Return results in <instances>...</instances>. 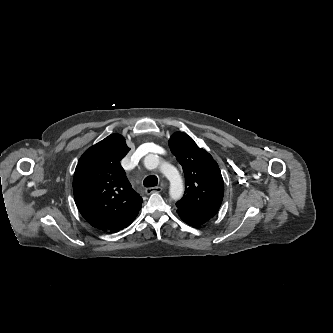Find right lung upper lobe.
Masks as SVG:
<instances>
[{"label":"right lung upper lobe","instance_id":"1","mask_svg":"<svg viewBox=\"0 0 333 333\" xmlns=\"http://www.w3.org/2000/svg\"><path fill=\"white\" fill-rule=\"evenodd\" d=\"M129 150L123 136L112 134L90 147L76 166L75 203L84 219L99 230L118 232L128 227L141 209L142 197L120 165Z\"/></svg>","mask_w":333,"mask_h":333}]
</instances>
